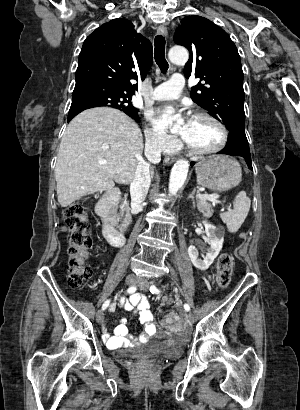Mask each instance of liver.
Listing matches in <instances>:
<instances>
[{
    "label": "liver",
    "instance_id": "1",
    "mask_svg": "<svg viewBox=\"0 0 300 410\" xmlns=\"http://www.w3.org/2000/svg\"><path fill=\"white\" fill-rule=\"evenodd\" d=\"M143 147L140 128L125 113L96 107L78 114L58 151L55 179L60 205L67 207L83 196L110 190L115 182L131 183ZM99 159L107 163L99 164Z\"/></svg>",
    "mask_w": 300,
    "mask_h": 410
}]
</instances>
